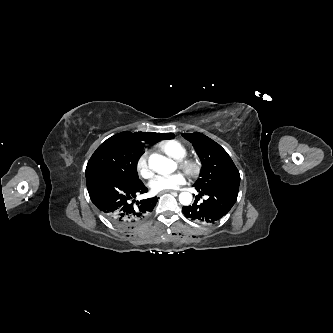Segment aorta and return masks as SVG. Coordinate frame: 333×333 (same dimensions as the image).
<instances>
[{
	"instance_id": "1",
	"label": "aorta",
	"mask_w": 333,
	"mask_h": 333,
	"mask_svg": "<svg viewBox=\"0 0 333 333\" xmlns=\"http://www.w3.org/2000/svg\"><path fill=\"white\" fill-rule=\"evenodd\" d=\"M149 167L158 174H170L175 171L176 163L162 155L153 154L149 158ZM179 201L182 205H189L192 195L189 192H182Z\"/></svg>"
}]
</instances>
